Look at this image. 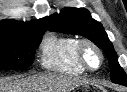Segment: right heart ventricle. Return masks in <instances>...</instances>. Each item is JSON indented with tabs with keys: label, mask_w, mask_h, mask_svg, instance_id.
I'll return each mask as SVG.
<instances>
[{
	"label": "right heart ventricle",
	"mask_w": 127,
	"mask_h": 92,
	"mask_svg": "<svg viewBox=\"0 0 127 92\" xmlns=\"http://www.w3.org/2000/svg\"><path fill=\"white\" fill-rule=\"evenodd\" d=\"M79 39L69 35L50 34L41 45L40 65L50 72L79 75L85 70L79 65L76 58V49Z\"/></svg>",
	"instance_id": "1"
}]
</instances>
